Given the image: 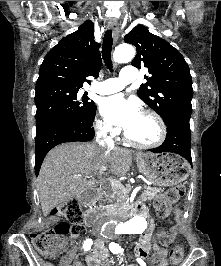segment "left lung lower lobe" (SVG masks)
Wrapping results in <instances>:
<instances>
[{"label": "left lung lower lobe", "instance_id": "left-lung-lower-lobe-1", "mask_svg": "<svg viewBox=\"0 0 221 266\" xmlns=\"http://www.w3.org/2000/svg\"><path fill=\"white\" fill-rule=\"evenodd\" d=\"M189 119L177 117L168 122L165 141L161 146L150 151L153 153H175L186 158L192 164Z\"/></svg>", "mask_w": 221, "mask_h": 266}]
</instances>
